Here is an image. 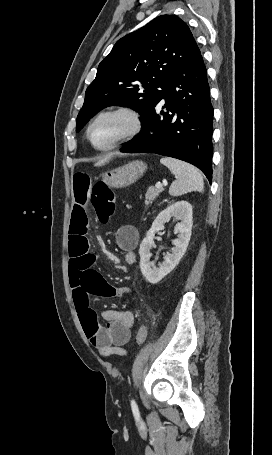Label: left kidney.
Returning <instances> with one entry per match:
<instances>
[{"label":"left kidney","instance_id":"5707ae66","mask_svg":"<svg viewBox=\"0 0 272 455\" xmlns=\"http://www.w3.org/2000/svg\"><path fill=\"white\" fill-rule=\"evenodd\" d=\"M192 215L191 204L187 201H179L161 211L153 221L139 249L140 269L149 283L156 284L161 281L180 262L190 241L193 225ZM172 216L180 220L174 228V233L178 234V238L173 241L174 248L172 249V253L167 254L162 264L157 268L150 261V251L154 246L155 233L163 230L164 223L168 222Z\"/></svg>","mask_w":272,"mask_h":455}]
</instances>
